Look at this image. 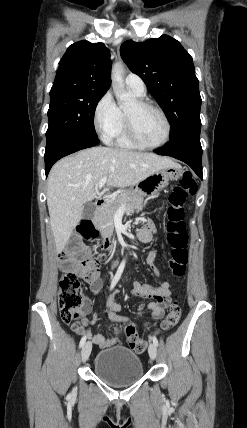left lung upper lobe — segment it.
I'll use <instances>...</instances> for the list:
<instances>
[{"mask_svg": "<svg viewBox=\"0 0 247 428\" xmlns=\"http://www.w3.org/2000/svg\"><path fill=\"white\" fill-rule=\"evenodd\" d=\"M120 54L166 113L171 141L200 133L199 81L192 58L179 41L167 35L145 42L128 40L121 45Z\"/></svg>", "mask_w": 247, "mask_h": 428, "instance_id": "left-lung-upper-lobe-1", "label": "left lung upper lobe"}]
</instances>
